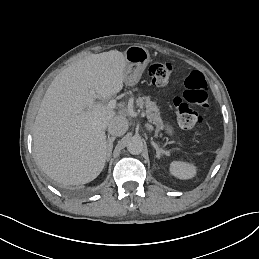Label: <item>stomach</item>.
I'll return each instance as SVG.
<instances>
[{
  "instance_id": "stomach-1",
  "label": "stomach",
  "mask_w": 259,
  "mask_h": 259,
  "mask_svg": "<svg viewBox=\"0 0 259 259\" xmlns=\"http://www.w3.org/2000/svg\"><path fill=\"white\" fill-rule=\"evenodd\" d=\"M127 64L124 67V80L129 85H134L144 74V67L150 61L149 51L138 45L129 46L125 51Z\"/></svg>"
}]
</instances>
